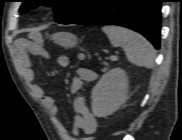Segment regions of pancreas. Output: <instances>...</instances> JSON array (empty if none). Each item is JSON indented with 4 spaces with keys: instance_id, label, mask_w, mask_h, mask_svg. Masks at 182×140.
<instances>
[{
    "instance_id": "1",
    "label": "pancreas",
    "mask_w": 182,
    "mask_h": 140,
    "mask_svg": "<svg viewBox=\"0 0 182 140\" xmlns=\"http://www.w3.org/2000/svg\"><path fill=\"white\" fill-rule=\"evenodd\" d=\"M107 68H104L103 71H106Z\"/></svg>"
}]
</instances>
